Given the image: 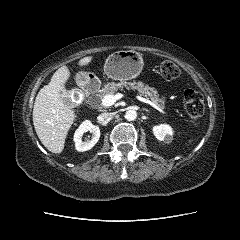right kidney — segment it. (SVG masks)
<instances>
[{
	"label": "right kidney",
	"mask_w": 240,
	"mask_h": 240,
	"mask_svg": "<svg viewBox=\"0 0 240 240\" xmlns=\"http://www.w3.org/2000/svg\"><path fill=\"white\" fill-rule=\"evenodd\" d=\"M88 131L93 134L91 140L82 141L83 134ZM99 138L100 129L98 126L93 125L89 120L82 122L74 134L76 150L79 152L90 150L98 142Z\"/></svg>",
	"instance_id": "ca27d5eb"
}]
</instances>
